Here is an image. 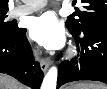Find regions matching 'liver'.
<instances>
[{
    "label": "liver",
    "instance_id": "6515ba94",
    "mask_svg": "<svg viewBox=\"0 0 107 89\" xmlns=\"http://www.w3.org/2000/svg\"><path fill=\"white\" fill-rule=\"evenodd\" d=\"M0 89H26L17 80L12 77L1 74L0 76Z\"/></svg>",
    "mask_w": 107,
    "mask_h": 89
}]
</instances>
